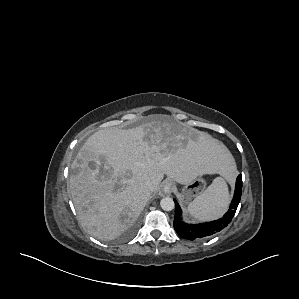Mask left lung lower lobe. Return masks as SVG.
<instances>
[{
    "label": "left lung lower lobe",
    "mask_w": 299,
    "mask_h": 299,
    "mask_svg": "<svg viewBox=\"0 0 299 299\" xmlns=\"http://www.w3.org/2000/svg\"><path fill=\"white\" fill-rule=\"evenodd\" d=\"M242 193V176L239 175L236 180L235 194L234 198L231 202L229 210L223 216L222 219L217 221H212L203 224H187L181 221V208L178 205L177 201L175 202V218H174V228L178 235L182 238L194 240V239H202L207 238L225 228L232 220L238 204L241 199Z\"/></svg>",
    "instance_id": "0a47b994"
}]
</instances>
